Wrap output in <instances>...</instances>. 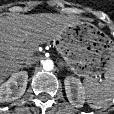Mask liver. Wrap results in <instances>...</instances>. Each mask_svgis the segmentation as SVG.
<instances>
[{
    "label": "liver",
    "instance_id": "liver-1",
    "mask_svg": "<svg viewBox=\"0 0 114 114\" xmlns=\"http://www.w3.org/2000/svg\"><path fill=\"white\" fill-rule=\"evenodd\" d=\"M79 22L76 16L51 13L0 17V84L27 59H34L39 45L59 39Z\"/></svg>",
    "mask_w": 114,
    "mask_h": 114
}]
</instances>
